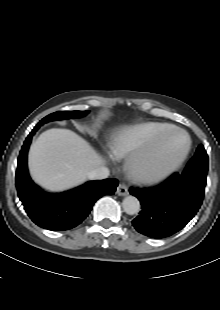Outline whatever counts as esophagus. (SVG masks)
<instances>
[{"mask_svg": "<svg viewBox=\"0 0 220 310\" xmlns=\"http://www.w3.org/2000/svg\"><path fill=\"white\" fill-rule=\"evenodd\" d=\"M116 193L119 196H126L128 194V188L125 184L121 183L118 185Z\"/></svg>", "mask_w": 220, "mask_h": 310, "instance_id": "obj_1", "label": "esophagus"}]
</instances>
